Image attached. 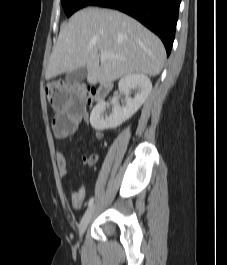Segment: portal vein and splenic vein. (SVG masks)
Instances as JSON below:
<instances>
[{
  "label": "portal vein and splenic vein",
  "mask_w": 227,
  "mask_h": 265,
  "mask_svg": "<svg viewBox=\"0 0 227 265\" xmlns=\"http://www.w3.org/2000/svg\"><path fill=\"white\" fill-rule=\"evenodd\" d=\"M100 55H101V60H105V59H109L111 57H114L107 51H101Z\"/></svg>",
  "instance_id": "portal-vein-and-splenic-vein-1"
}]
</instances>
